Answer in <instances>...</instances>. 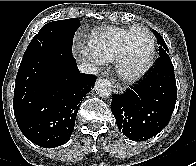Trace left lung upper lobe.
<instances>
[{"instance_id": "5c2ea615", "label": "left lung upper lobe", "mask_w": 196, "mask_h": 166, "mask_svg": "<svg viewBox=\"0 0 196 166\" xmlns=\"http://www.w3.org/2000/svg\"><path fill=\"white\" fill-rule=\"evenodd\" d=\"M153 33L155 34V36L157 38V42L160 45L159 46V55L169 53L167 45H166L165 41L163 40L162 36L158 32H156L155 30H153Z\"/></svg>"}]
</instances>
